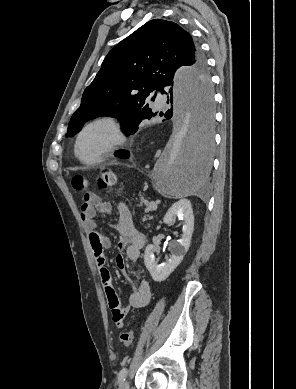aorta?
I'll use <instances>...</instances> for the list:
<instances>
[{
	"instance_id": "obj_1",
	"label": "aorta",
	"mask_w": 296,
	"mask_h": 389,
	"mask_svg": "<svg viewBox=\"0 0 296 389\" xmlns=\"http://www.w3.org/2000/svg\"><path fill=\"white\" fill-rule=\"evenodd\" d=\"M209 72L180 68L172 83L175 129L154 169L158 187L184 197L201 189L214 150L213 83Z\"/></svg>"
}]
</instances>
